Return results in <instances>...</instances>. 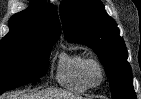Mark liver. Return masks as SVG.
Returning <instances> with one entry per match:
<instances>
[{"mask_svg":"<svg viewBox=\"0 0 141 99\" xmlns=\"http://www.w3.org/2000/svg\"><path fill=\"white\" fill-rule=\"evenodd\" d=\"M2 99H80V96L61 91L56 89H44L32 94H21L20 92L6 97H0Z\"/></svg>","mask_w":141,"mask_h":99,"instance_id":"6515ba94","label":"liver"}]
</instances>
